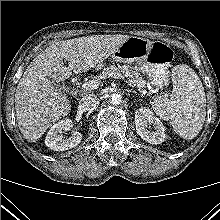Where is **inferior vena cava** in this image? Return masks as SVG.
<instances>
[{"instance_id":"inferior-vena-cava-1","label":"inferior vena cava","mask_w":220,"mask_h":220,"mask_svg":"<svg viewBox=\"0 0 220 220\" xmlns=\"http://www.w3.org/2000/svg\"><path fill=\"white\" fill-rule=\"evenodd\" d=\"M98 97L95 94H87L79 101V107L83 111H89L96 107L98 104Z\"/></svg>"}]
</instances>
